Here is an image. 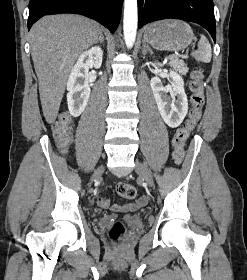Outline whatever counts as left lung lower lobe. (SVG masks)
Listing matches in <instances>:
<instances>
[{
  "label": "left lung lower lobe",
  "mask_w": 247,
  "mask_h": 280,
  "mask_svg": "<svg viewBox=\"0 0 247 280\" xmlns=\"http://www.w3.org/2000/svg\"><path fill=\"white\" fill-rule=\"evenodd\" d=\"M175 18L203 26L216 41L213 0H138V27L161 19Z\"/></svg>",
  "instance_id": "left-lung-lower-lobe-1"
}]
</instances>
